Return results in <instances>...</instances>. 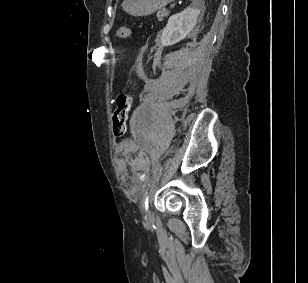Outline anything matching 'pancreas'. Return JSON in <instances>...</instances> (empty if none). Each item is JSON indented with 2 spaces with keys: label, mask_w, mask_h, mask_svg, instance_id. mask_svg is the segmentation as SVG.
I'll list each match as a JSON object with an SVG mask.
<instances>
[{
  "label": "pancreas",
  "mask_w": 308,
  "mask_h": 283,
  "mask_svg": "<svg viewBox=\"0 0 308 283\" xmlns=\"http://www.w3.org/2000/svg\"><path fill=\"white\" fill-rule=\"evenodd\" d=\"M169 15V12L166 10H161L157 13V18L159 21H162L164 17H167Z\"/></svg>",
  "instance_id": "cf45deb5"
}]
</instances>
